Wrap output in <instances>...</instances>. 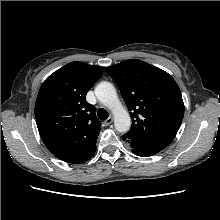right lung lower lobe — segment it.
<instances>
[{
	"label": "right lung lower lobe",
	"instance_id": "1",
	"mask_svg": "<svg viewBox=\"0 0 220 220\" xmlns=\"http://www.w3.org/2000/svg\"><path fill=\"white\" fill-rule=\"evenodd\" d=\"M94 153H95V151L87 159H85L83 162H86L87 160H89L94 155Z\"/></svg>",
	"mask_w": 220,
	"mask_h": 220
}]
</instances>
